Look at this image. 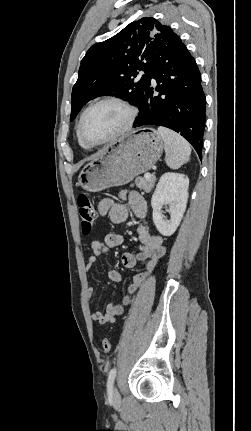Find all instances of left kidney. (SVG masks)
Masks as SVG:
<instances>
[{"label": "left kidney", "mask_w": 251, "mask_h": 431, "mask_svg": "<svg viewBox=\"0 0 251 431\" xmlns=\"http://www.w3.org/2000/svg\"><path fill=\"white\" fill-rule=\"evenodd\" d=\"M189 178L179 173H164L152 196L153 222L163 236H171L179 226L186 210ZM163 205H169L170 219L162 216Z\"/></svg>", "instance_id": "obj_1"}]
</instances>
